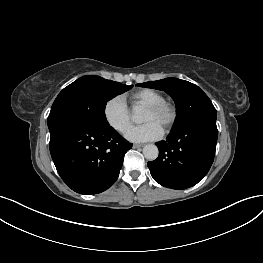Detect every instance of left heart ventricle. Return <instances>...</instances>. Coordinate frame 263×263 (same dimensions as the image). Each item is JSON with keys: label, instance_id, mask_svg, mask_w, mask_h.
<instances>
[{"label": "left heart ventricle", "instance_id": "b2bd125f", "mask_svg": "<svg viewBox=\"0 0 263 263\" xmlns=\"http://www.w3.org/2000/svg\"><path fill=\"white\" fill-rule=\"evenodd\" d=\"M144 122L148 121H155L157 122L160 126L163 124V115L157 114L148 108L145 110L144 117H143Z\"/></svg>", "mask_w": 263, "mask_h": 263}]
</instances>
